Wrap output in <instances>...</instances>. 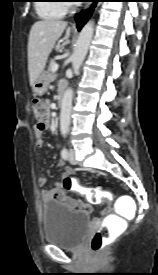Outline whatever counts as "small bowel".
I'll return each mask as SVG.
<instances>
[{
  "instance_id": "small-bowel-1",
  "label": "small bowel",
  "mask_w": 158,
  "mask_h": 275,
  "mask_svg": "<svg viewBox=\"0 0 158 275\" xmlns=\"http://www.w3.org/2000/svg\"><path fill=\"white\" fill-rule=\"evenodd\" d=\"M65 87L64 84L60 85V89ZM44 131H38L35 128V138H36V145L40 148L44 146V140L42 138ZM64 161L59 160L58 166H63ZM71 169H67L64 173V177L70 176ZM40 186L43 187L41 191V198L44 203H51V202H59L65 205L70 209H76L78 211L89 213L92 211V207L89 203L84 202L79 199L72 198L67 195L66 191L64 190L62 182H53L54 187L51 189L45 188L48 183V179L46 177H40L38 180Z\"/></svg>"
}]
</instances>
